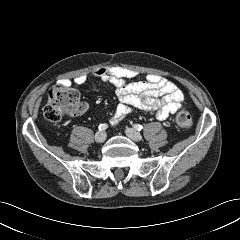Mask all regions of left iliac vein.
<instances>
[{
	"label": "left iliac vein",
	"mask_w": 240,
	"mask_h": 240,
	"mask_svg": "<svg viewBox=\"0 0 240 240\" xmlns=\"http://www.w3.org/2000/svg\"><path fill=\"white\" fill-rule=\"evenodd\" d=\"M125 133L133 141H140L142 138L140 133L134 130L133 128H126Z\"/></svg>",
	"instance_id": "obj_1"
}]
</instances>
